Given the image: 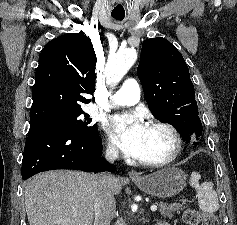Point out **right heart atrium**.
Masks as SVG:
<instances>
[{"mask_svg":"<svg viewBox=\"0 0 237 225\" xmlns=\"http://www.w3.org/2000/svg\"><path fill=\"white\" fill-rule=\"evenodd\" d=\"M105 150H106L107 155H109L111 157L118 156V149H117L116 145L111 140L107 141Z\"/></svg>","mask_w":237,"mask_h":225,"instance_id":"obj_1","label":"right heart atrium"}]
</instances>
